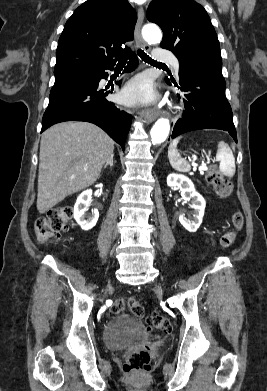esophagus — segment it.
Returning <instances> with one entry per match:
<instances>
[{"instance_id": "1", "label": "esophagus", "mask_w": 267, "mask_h": 391, "mask_svg": "<svg viewBox=\"0 0 267 391\" xmlns=\"http://www.w3.org/2000/svg\"><path fill=\"white\" fill-rule=\"evenodd\" d=\"M143 19H144L143 9L139 8L137 23L135 26V39L140 45V47H142L145 50H148L149 46L144 42L141 36V27L143 24ZM143 116L148 122H152L158 117V112L156 110L146 109L143 111Z\"/></svg>"}]
</instances>
